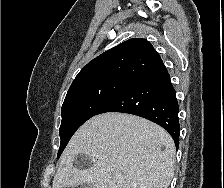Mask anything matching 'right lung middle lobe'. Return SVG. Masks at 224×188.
<instances>
[{
	"instance_id": "dd1d6c3e",
	"label": "right lung middle lobe",
	"mask_w": 224,
	"mask_h": 188,
	"mask_svg": "<svg viewBox=\"0 0 224 188\" xmlns=\"http://www.w3.org/2000/svg\"><path fill=\"white\" fill-rule=\"evenodd\" d=\"M132 81L129 78L110 77L70 86L62 105L58 157L75 131Z\"/></svg>"
}]
</instances>
